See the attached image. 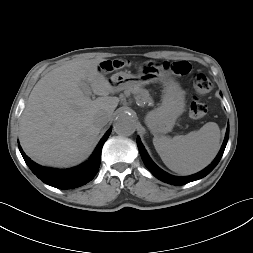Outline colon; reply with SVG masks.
<instances>
[{
    "instance_id": "obj_1",
    "label": "colon",
    "mask_w": 253,
    "mask_h": 253,
    "mask_svg": "<svg viewBox=\"0 0 253 253\" xmlns=\"http://www.w3.org/2000/svg\"><path fill=\"white\" fill-rule=\"evenodd\" d=\"M129 65V62L123 60L106 61L102 64V69L106 72L124 68ZM163 67L176 75H188L192 71L190 63L187 61L165 62ZM192 89L197 95H205L212 89L211 81L202 73H195L190 80ZM207 113V106L198 98H195L189 107V115L193 120L202 119Z\"/></svg>"
}]
</instances>
